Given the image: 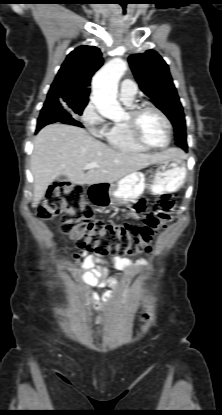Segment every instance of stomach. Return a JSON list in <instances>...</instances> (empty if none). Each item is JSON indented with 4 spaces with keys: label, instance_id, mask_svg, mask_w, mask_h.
I'll return each mask as SVG.
<instances>
[{
    "label": "stomach",
    "instance_id": "1",
    "mask_svg": "<svg viewBox=\"0 0 222 415\" xmlns=\"http://www.w3.org/2000/svg\"><path fill=\"white\" fill-rule=\"evenodd\" d=\"M153 185L150 187L153 193L159 191L173 192L180 189L186 180L187 168L183 156L172 157L157 163L152 170ZM146 177L141 172L130 173L115 184L100 183L91 185L89 196L94 204L107 208L113 205L129 204L143 194Z\"/></svg>",
    "mask_w": 222,
    "mask_h": 415
}]
</instances>
